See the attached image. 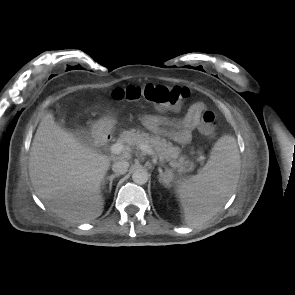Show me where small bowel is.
Segmentation results:
<instances>
[{
    "label": "small bowel",
    "mask_w": 295,
    "mask_h": 295,
    "mask_svg": "<svg viewBox=\"0 0 295 295\" xmlns=\"http://www.w3.org/2000/svg\"><path fill=\"white\" fill-rule=\"evenodd\" d=\"M205 111H207L205 104L198 102L189 107L181 120L170 121L159 115L144 114L141 116V122L150 131L166 135L177 143L185 144L190 141L192 132Z\"/></svg>",
    "instance_id": "1"
}]
</instances>
